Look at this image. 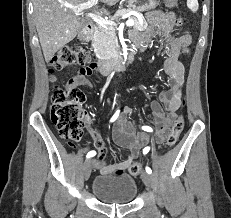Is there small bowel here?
Masks as SVG:
<instances>
[{
	"instance_id": "obj_1",
	"label": "small bowel",
	"mask_w": 231,
	"mask_h": 218,
	"mask_svg": "<svg viewBox=\"0 0 231 218\" xmlns=\"http://www.w3.org/2000/svg\"><path fill=\"white\" fill-rule=\"evenodd\" d=\"M146 18L150 28L140 34H133L134 44L139 48H145L152 42L154 35H159L168 45V53L162 69L168 77L169 88L160 92V103L158 101L150 103V110L157 128L156 142L161 144L166 138L172 119L182 104L185 67L180 60V55L189 54L191 36L189 34L178 37L171 36L175 25V16L172 12L150 11L146 14ZM98 66V64L89 63L87 66H83V69H78L77 74L71 80L72 83L76 86L91 87L92 82L88 77ZM135 110V106L124 107L125 114H132ZM89 131L98 152L97 158L92 160V166L106 175H124L132 161L140 154L142 145L147 140L143 135L134 134L129 125L119 122L114 128L113 139L126 151L120 154L124 158L123 161L112 163L105 160L106 147L101 134L93 127H89Z\"/></svg>"
}]
</instances>
